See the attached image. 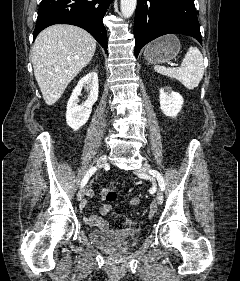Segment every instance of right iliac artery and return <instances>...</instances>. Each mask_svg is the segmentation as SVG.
<instances>
[{
  "label": "right iliac artery",
  "mask_w": 240,
  "mask_h": 281,
  "mask_svg": "<svg viewBox=\"0 0 240 281\" xmlns=\"http://www.w3.org/2000/svg\"><path fill=\"white\" fill-rule=\"evenodd\" d=\"M97 168L96 167H91L86 175L84 176V178L82 179L81 182V187H84L86 185V183L88 182L89 178L96 172Z\"/></svg>",
  "instance_id": "1"
}]
</instances>
